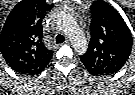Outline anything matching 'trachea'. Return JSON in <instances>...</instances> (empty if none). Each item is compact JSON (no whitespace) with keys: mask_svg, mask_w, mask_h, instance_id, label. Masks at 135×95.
Listing matches in <instances>:
<instances>
[{"mask_svg":"<svg viewBox=\"0 0 135 95\" xmlns=\"http://www.w3.org/2000/svg\"><path fill=\"white\" fill-rule=\"evenodd\" d=\"M64 41H65V38L63 35H61V34L57 35V37H56L57 43H63Z\"/></svg>","mask_w":135,"mask_h":95,"instance_id":"trachea-1","label":"trachea"}]
</instances>
